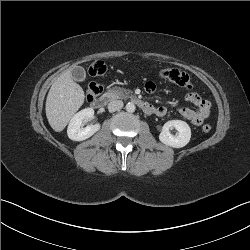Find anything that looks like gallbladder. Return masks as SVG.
<instances>
[{"instance_id": "gallbladder-1", "label": "gallbladder", "mask_w": 250, "mask_h": 250, "mask_svg": "<svg viewBox=\"0 0 250 250\" xmlns=\"http://www.w3.org/2000/svg\"><path fill=\"white\" fill-rule=\"evenodd\" d=\"M71 77L75 81L81 82V81H84V79L86 77V72H85L83 67L76 66V67L72 68V70H71Z\"/></svg>"}]
</instances>
